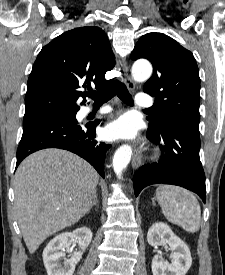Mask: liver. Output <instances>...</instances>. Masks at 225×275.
Here are the masks:
<instances>
[{"label": "liver", "mask_w": 225, "mask_h": 275, "mask_svg": "<svg viewBox=\"0 0 225 275\" xmlns=\"http://www.w3.org/2000/svg\"><path fill=\"white\" fill-rule=\"evenodd\" d=\"M98 181L88 162L66 150L44 149L23 160L14 178L15 208L31 254L87 213Z\"/></svg>", "instance_id": "liver-1"}]
</instances>
